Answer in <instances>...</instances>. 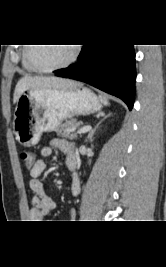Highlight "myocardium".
Listing matches in <instances>:
<instances>
[{"label":"myocardium","instance_id":"f54148a6","mask_svg":"<svg viewBox=\"0 0 166 267\" xmlns=\"http://www.w3.org/2000/svg\"><path fill=\"white\" fill-rule=\"evenodd\" d=\"M33 48H34V44H30V46L27 47V51H26L27 61L30 64V66L33 67L36 71H40L44 73L58 71V70H61L63 68L70 66L77 59L78 54H79L78 46H73L72 53L65 62L59 65H56V66H52V67H42L38 65L37 63H35V61L33 60V57H32Z\"/></svg>","mask_w":166,"mask_h":267}]
</instances>
